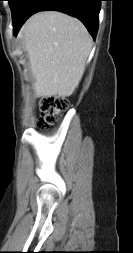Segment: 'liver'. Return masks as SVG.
Wrapping results in <instances>:
<instances>
[{"instance_id":"1","label":"liver","mask_w":133,"mask_h":253,"mask_svg":"<svg viewBox=\"0 0 133 253\" xmlns=\"http://www.w3.org/2000/svg\"><path fill=\"white\" fill-rule=\"evenodd\" d=\"M20 37L35 78L36 95L70 96L84 74L92 47L85 26L60 12H40L25 22Z\"/></svg>"}]
</instances>
